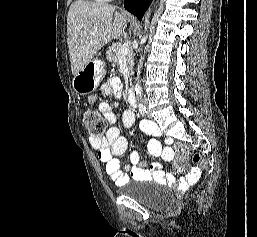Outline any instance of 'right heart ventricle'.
I'll list each match as a JSON object with an SVG mask.
<instances>
[{"label":"right heart ventricle","instance_id":"1","mask_svg":"<svg viewBox=\"0 0 257 237\" xmlns=\"http://www.w3.org/2000/svg\"><path fill=\"white\" fill-rule=\"evenodd\" d=\"M92 1H94V2H105V1H109V0H92Z\"/></svg>","mask_w":257,"mask_h":237}]
</instances>
